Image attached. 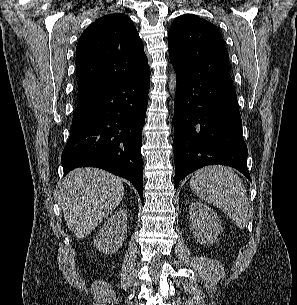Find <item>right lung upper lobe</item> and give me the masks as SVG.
Segmentation results:
<instances>
[{"label": "right lung upper lobe", "mask_w": 297, "mask_h": 305, "mask_svg": "<svg viewBox=\"0 0 297 305\" xmlns=\"http://www.w3.org/2000/svg\"><path fill=\"white\" fill-rule=\"evenodd\" d=\"M147 68L143 42L132 20L122 13L103 16L81 34L76 47L77 101Z\"/></svg>", "instance_id": "obj_1"}]
</instances>
